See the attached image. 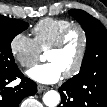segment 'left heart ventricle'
<instances>
[{"label": "left heart ventricle", "instance_id": "left-heart-ventricle-1", "mask_svg": "<svg viewBox=\"0 0 107 107\" xmlns=\"http://www.w3.org/2000/svg\"><path fill=\"white\" fill-rule=\"evenodd\" d=\"M81 46V36L78 31H73L68 36L64 46L59 50H49L46 58L56 62L63 72L69 70L75 63Z\"/></svg>", "mask_w": 107, "mask_h": 107}]
</instances>
